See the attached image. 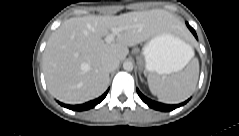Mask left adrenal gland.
I'll use <instances>...</instances> for the list:
<instances>
[{"instance_id":"left-adrenal-gland-1","label":"left adrenal gland","mask_w":239,"mask_h":136,"mask_svg":"<svg viewBox=\"0 0 239 136\" xmlns=\"http://www.w3.org/2000/svg\"><path fill=\"white\" fill-rule=\"evenodd\" d=\"M139 77H140V80L143 81L142 77H141V73H139Z\"/></svg>"}]
</instances>
